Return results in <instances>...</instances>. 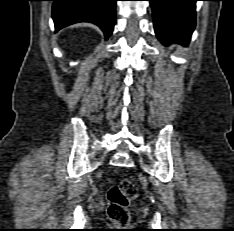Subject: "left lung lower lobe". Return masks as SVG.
I'll return each mask as SVG.
<instances>
[{"label": "left lung lower lobe", "instance_id": "obj_1", "mask_svg": "<svg viewBox=\"0 0 234 231\" xmlns=\"http://www.w3.org/2000/svg\"><path fill=\"white\" fill-rule=\"evenodd\" d=\"M153 10L157 38L165 45H187L195 27V3L198 0H149Z\"/></svg>", "mask_w": 234, "mask_h": 231}]
</instances>
